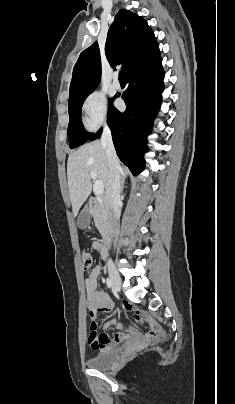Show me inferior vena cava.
<instances>
[{"label":"inferior vena cava","mask_w":235,"mask_h":404,"mask_svg":"<svg viewBox=\"0 0 235 404\" xmlns=\"http://www.w3.org/2000/svg\"><path fill=\"white\" fill-rule=\"evenodd\" d=\"M101 144L105 149L107 161L110 167V180L106 192L107 201L113 211L114 218L119 219L121 213L120 165L113 145L111 131L108 126H105L103 129V133L101 136Z\"/></svg>","instance_id":"inferior-vena-cava-1"}]
</instances>
